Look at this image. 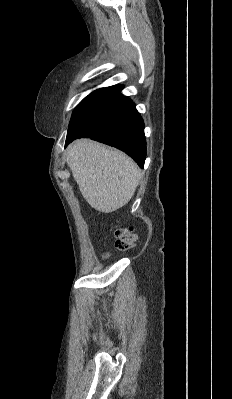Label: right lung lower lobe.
<instances>
[{
    "label": "right lung lower lobe",
    "mask_w": 232,
    "mask_h": 399,
    "mask_svg": "<svg viewBox=\"0 0 232 399\" xmlns=\"http://www.w3.org/2000/svg\"><path fill=\"white\" fill-rule=\"evenodd\" d=\"M122 89V85L101 88L80 102L73 111L65 147L77 138H91L124 151L143 168L144 123Z\"/></svg>",
    "instance_id": "1"
}]
</instances>
